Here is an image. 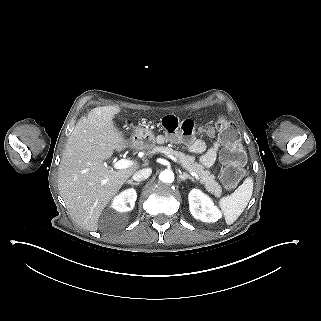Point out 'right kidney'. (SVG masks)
<instances>
[{"label": "right kidney", "instance_id": "obj_1", "mask_svg": "<svg viewBox=\"0 0 321 321\" xmlns=\"http://www.w3.org/2000/svg\"><path fill=\"white\" fill-rule=\"evenodd\" d=\"M135 200V190L129 189L115 198L112 207L120 212L129 211L134 206Z\"/></svg>", "mask_w": 321, "mask_h": 321}]
</instances>
